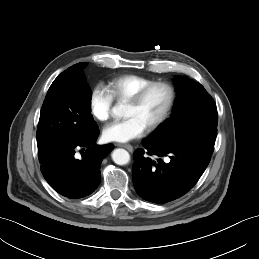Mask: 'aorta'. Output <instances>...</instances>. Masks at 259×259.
Wrapping results in <instances>:
<instances>
[{
	"instance_id": "762f6f07",
	"label": "aorta",
	"mask_w": 259,
	"mask_h": 259,
	"mask_svg": "<svg viewBox=\"0 0 259 259\" xmlns=\"http://www.w3.org/2000/svg\"><path fill=\"white\" fill-rule=\"evenodd\" d=\"M112 112L117 117L123 116V108L121 105L114 106ZM112 159L118 165H126L130 161V154L125 149H115L112 153Z\"/></svg>"
}]
</instances>
